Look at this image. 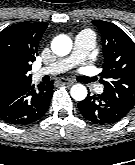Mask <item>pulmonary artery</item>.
Returning <instances> with one entry per match:
<instances>
[{
    "label": "pulmonary artery",
    "mask_w": 135,
    "mask_h": 165,
    "mask_svg": "<svg viewBox=\"0 0 135 165\" xmlns=\"http://www.w3.org/2000/svg\"><path fill=\"white\" fill-rule=\"evenodd\" d=\"M93 47V37L87 32H81L75 37L74 48L72 53L65 57L57 60L56 62L41 68L36 74V77L42 76L44 74H58L68 71L69 69L83 64L91 49ZM97 92L101 93L102 86H97Z\"/></svg>",
    "instance_id": "obj_1"
}]
</instances>
